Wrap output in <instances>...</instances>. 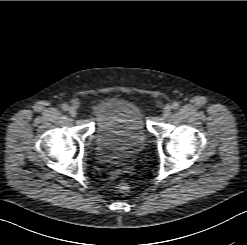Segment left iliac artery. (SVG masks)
<instances>
[{"label":"left iliac artery","instance_id":"left-iliac-artery-1","mask_svg":"<svg viewBox=\"0 0 247 245\" xmlns=\"http://www.w3.org/2000/svg\"><path fill=\"white\" fill-rule=\"evenodd\" d=\"M179 106H180V105H179L178 102H174V103L172 104V108L175 109V110L178 109Z\"/></svg>","mask_w":247,"mask_h":245}]
</instances>
